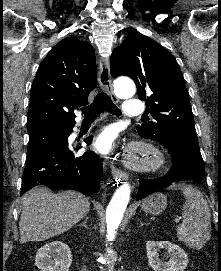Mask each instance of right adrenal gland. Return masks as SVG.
<instances>
[{
  "label": "right adrenal gland",
  "instance_id": "1",
  "mask_svg": "<svg viewBox=\"0 0 221 271\" xmlns=\"http://www.w3.org/2000/svg\"><path fill=\"white\" fill-rule=\"evenodd\" d=\"M87 219H89V217H85L83 223H79V225H84V227H87Z\"/></svg>",
  "mask_w": 221,
  "mask_h": 271
}]
</instances>
